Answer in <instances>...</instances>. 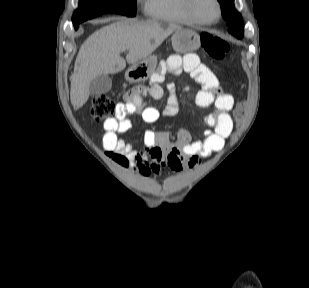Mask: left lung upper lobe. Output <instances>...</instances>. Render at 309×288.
I'll return each instance as SVG.
<instances>
[{"mask_svg":"<svg viewBox=\"0 0 309 288\" xmlns=\"http://www.w3.org/2000/svg\"><path fill=\"white\" fill-rule=\"evenodd\" d=\"M221 5L223 17L228 25V32L232 35L242 36L244 24L241 15L234 8V0H218Z\"/></svg>","mask_w":309,"mask_h":288,"instance_id":"1","label":"left lung upper lobe"}]
</instances>
